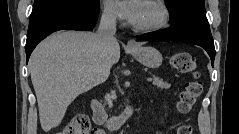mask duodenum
Returning a JSON list of instances; mask_svg holds the SVG:
<instances>
[{
  "mask_svg": "<svg viewBox=\"0 0 239 134\" xmlns=\"http://www.w3.org/2000/svg\"><path fill=\"white\" fill-rule=\"evenodd\" d=\"M91 108L94 122L99 125H106L111 130H116L125 125L134 113V108L130 105L120 115L109 117L106 110L95 100L91 101Z\"/></svg>",
  "mask_w": 239,
  "mask_h": 134,
  "instance_id": "obj_1",
  "label": "duodenum"
}]
</instances>
